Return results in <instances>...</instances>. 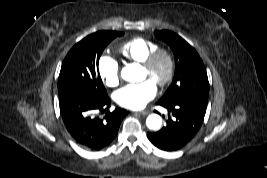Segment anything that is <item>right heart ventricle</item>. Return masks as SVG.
Wrapping results in <instances>:
<instances>
[{
    "instance_id": "1",
    "label": "right heart ventricle",
    "mask_w": 267,
    "mask_h": 178,
    "mask_svg": "<svg viewBox=\"0 0 267 178\" xmlns=\"http://www.w3.org/2000/svg\"><path fill=\"white\" fill-rule=\"evenodd\" d=\"M157 47L153 40L138 36L125 42L119 51L126 59L141 63Z\"/></svg>"
}]
</instances>
